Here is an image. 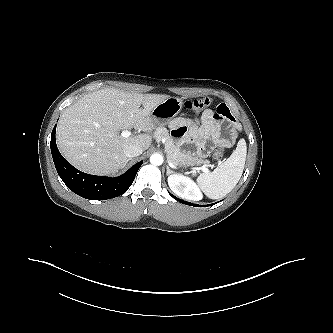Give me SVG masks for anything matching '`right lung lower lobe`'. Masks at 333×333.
Wrapping results in <instances>:
<instances>
[{
    "label": "right lung lower lobe",
    "mask_w": 333,
    "mask_h": 333,
    "mask_svg": "<svg viewBox=\"0 0 333 333\" xmlns=\"http://www.w3.org/2000/svg\"><path fill=\"white\" fill-rule=\"evenodd\" d=\"M56 126L51 135V153L56 170L65 185L79 196L91 200H104L125 193L136 176L142 161L132 166L123 175L115 178L95 176L74 168L60 154L55 141Z\"/></svg>",
    "instance_id": "obj_1"
}]
</instances>
